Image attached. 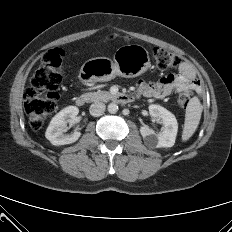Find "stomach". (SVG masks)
<instances>
[{"label": "stomach", "mask_w": 232, "mask_h": 232, "mask_svg": "<svg viewBox=\"0 0 232 232\" xmlns=\"http://www.w3.org/2000/svg\"><path fill=\"white\" fill-rule=\"evenodd\" d=\"M151 66L148 51L141 45H124L117 49L113 60L106 57L86 61L80 70L84 82H105L116 76L135 77L146 72Z\"/></svg>", "instance_id": "0dacf381"}]
</instances>
